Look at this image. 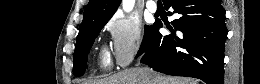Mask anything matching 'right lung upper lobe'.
Wrapping results in <instances>:
<instances>
[{"instance_id": "cb5924a9", "label": "right lung upper lobe", "mask_w": 260, "mask_h": 84, "mask_svg": "<svg viewBox=\"0 0 260 84\" xmlns=\"http://www.w3.org/2000/svg\"><path fill=\"white\" fill-rule=\"evenodd\" d=\"M120 1L121 0H90L85 8L78 36L93 23L109 20L118 8Z\"/></svg>"}]
</instances>
